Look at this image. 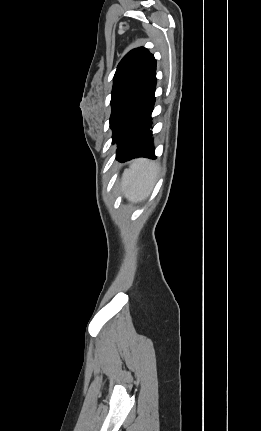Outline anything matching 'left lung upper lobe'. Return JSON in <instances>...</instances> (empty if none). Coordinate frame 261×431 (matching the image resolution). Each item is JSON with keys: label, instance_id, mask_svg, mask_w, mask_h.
<instances>
[{"label": "left lung upper lobe", "instance_id": "left-lung-upper-lobe-1", "mask_svg": "<svg viewBox=\"0 0 261 431\" xmlns=\"http://www.w3.org/2000/svg\"><path fill=\"white\" fill-rule=\"evenodd\" d=\"M155 71L156 60L143 47L128 52L118 64L111 93L112 143H115L119 126L128 106Z\"/></svg>", "mask_w": 261, "mask_h": 431}]
</instances>
